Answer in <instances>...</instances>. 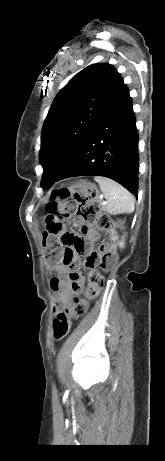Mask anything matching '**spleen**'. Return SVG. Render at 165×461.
<instances>
[{"label":"spleen","mask_w":165,"mask_h":461,"mask_svg":"<svg viewBox=\"0 0 165 461\" xmlns=\"http://www.w3.org/2000/svg\"><path fill=\"white\" fill-rule=\"evenodd\" d=\"M94 179L107 199L105 210L108 213L116 215L134 211V198L128 190L109 178L96 176Z\"/></svg>","instance_id":"spleen-1"}]
</instances>
